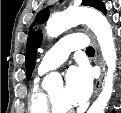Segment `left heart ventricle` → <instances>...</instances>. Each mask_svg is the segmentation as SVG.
Segmentation results:
<instances>
[{"instance_id": "b2bd125f", "label": "left heart ventricle", "mask_w": 121, "mask_h": 113, "mask_svg": "<svg viewBox=\"0 0 121 113\" xmlns=\"http://www.w3.org/2000/svg\"><path fill=\"white\" fill-rule=\"evenodd\" d=\"M52 98L60 109L71 107L65 96V89L62 85L56 86L50 91Z\"/></svg>"}]
</instances>
